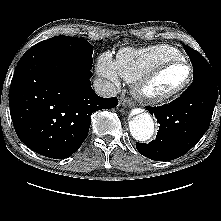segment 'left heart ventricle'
<instances>
[{
    "mask_svg": "<svg viewBox=\"0 0 221 221\" xmlns=\"http://www.w3.org/2000/svg\"><path fill=\"white\" fill-rule=\"evenodd\" d=\"M189 76V69L177 65L162 73L153 83L151 91L156 94L169 92L181 86Z\"/></svg>",
    "mask_w": 221,
    "mask_h": 221,
    "instance_id": "1",
    "label": "left heart ventricle"
}]
</instances>
